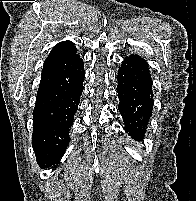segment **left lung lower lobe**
Here are the masks:
<instances>
[{
  "label": "left lung lower lobe",
  "instance_id": "0a47b994",
  "mask_svg": "<svg viewBox=\"0 0 196 201\" xmlns=\"http://www.w3.org/2000/svg\"><path fill=\"white\" fill-rule=\"evenodd\" d=\"M117 81L118 108L125 130L132 138L141 140L153 108L148 64L136 54L126 56L118 70Z\"/></svg>",
  "mask_w": 196,
  "mask_h": 201
}]
</instances>
